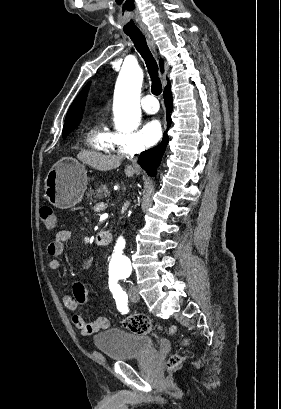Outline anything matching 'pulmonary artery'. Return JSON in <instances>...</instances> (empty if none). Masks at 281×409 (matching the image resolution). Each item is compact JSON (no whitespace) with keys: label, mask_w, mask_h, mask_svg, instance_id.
Masks as SVG:
<instances>
[{"label":"pulmonary artery","mask_w":281,"mask_h":409,"mask_svg":"<svg viewBox=\"0 0 281 409\" xmlns=\"http://www.w3.org/2000/svg\"><path fill=\"white\" fill-rule=\"evenodd\" d=\"M142 108L150 113H154L158 109L155 94H144L141 99Z\"/></svg>","instance_id":"e3ab8cb5"}]
</instances>
